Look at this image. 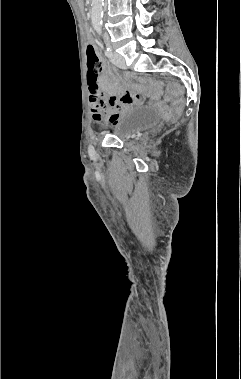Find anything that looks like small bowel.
Returning <instances> with one entry per match:
<instances>
[{
    "mask_svg": "<svg viewBox=\"0 0 241 379\" xmlns=\"http://www.w3.org/2000/svg\"><path fill=\"white\" fill-rule=\"evenodd\" d=\"M88 91L87 105L90 106V115L98 123L108 118V125H119L121 113L140 101L137 90L131 89L125 82L113 76L104 66L99 86L89 85Z\"/></svg>",
    "mask_w": 241,
    "mask_h": 379,
    "instance_id": "1",
    "label": "small bowel"
}]
</instances>
